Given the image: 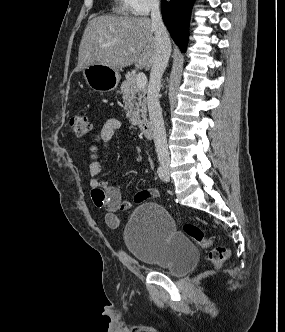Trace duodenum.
<instances>
[{
	"label": "duodenum",
	"mask_w": 285,
	"mask_h": 332,
	"mask_svg": "<svg viewBox=\"0 0 285 332\" xmlns=\"http://www.w3.org/2000/svg\"><path fill=\"white\" fill-rule=\"evenodd\" d=\"M140 131H141V134L145 138H152L153 137V127H152L151 123H149V122L143 123L140 126Z\"/></svg>",
	"instance_id": "obj_1"
}]
</instances>
